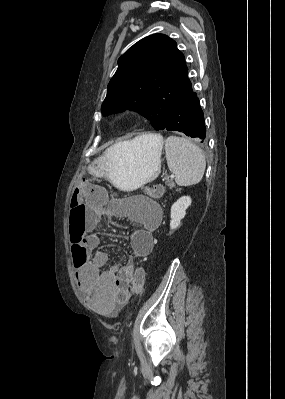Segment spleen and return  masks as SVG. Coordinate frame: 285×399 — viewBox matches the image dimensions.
Returning <instances> with one entry per match:
<instances>
[{"label":"spleen","instance_id":"spleen-1","mask_svg":"<svg viewBox=\"0 0 285 399\" xmlns=\"http://www.w3.org/2000/svg\"><path fill=\"white\" fill-rule=\"evenodd\" d=\"M169 170L179 186L195 185L203 178L206 161L202 150L189 139L169 136L165 142Z\"/></svg>","mask_w":285,"mask_h":399}]
</instances>
